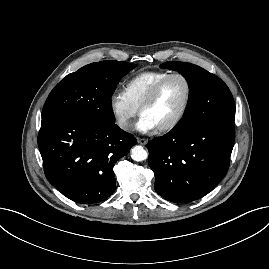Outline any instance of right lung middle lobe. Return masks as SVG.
<instances>
[{
    "instance_id": "1",
    "label": "right lung middle lobe",
    "mask_w": 269,
    "mask_h": 269,
    "mask_svg": "<svg viewBox=\"0 0 269 269\" xmlns=\"http://www.w3.org/2000/svg\"><path fill=\"white\" fill-rule=\"evenodd\" d=\"M127 62L102 61L67 75L49 94L42 119L69 116L98 125L115 123L111 97L120 79L135 68Z\"/></svg>"
}]
</instances>
